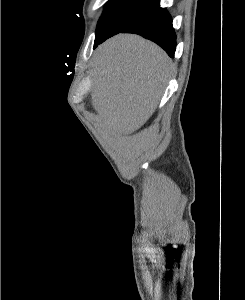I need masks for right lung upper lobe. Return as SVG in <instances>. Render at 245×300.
Listing matches in <instances>:
<instances>
[{
  "label": "right lung upper lobe",
  "instance_id": "right-lung-upper-lobe-1",
  "mask_svg": "<svg viewBox=\"0 0 245 300\" xmlns=\"http://www.w3.org/2000/svg\"><path fill=\"white\" fill-rule=\"evenodd\" d=\"M139 1H143V2H153V1H159V0H139Z\"/></svg>",
  "mask_w": 245,
  "mask_h": 300
}]
</instances>
